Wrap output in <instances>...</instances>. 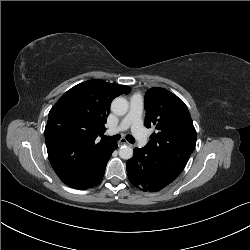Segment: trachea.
Instances as JSON below:
<instances>
[{
  "mask_svg": "<svg viewBox=\"0 0 250 250\" xmlns=\"http://www.w3.org/2000/svg\"><path fill=\"white\" fill-rule=\"evenodd\" d=\"M103 138L107 141L117 142L121 138V136L119 134H116L114 136H103ZM126 140L131 144L135 143V139L132 135H126Z\"/></svg>",
  "mask_w": 250,
  "mask_h": 250,
  "instance_id": "trachea-1",
  "label": "trachea"
}]
</instances>
